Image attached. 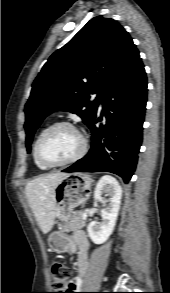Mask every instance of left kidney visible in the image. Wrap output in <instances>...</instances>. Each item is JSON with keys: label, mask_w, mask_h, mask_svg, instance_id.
Instances as JSON below:
<instances>
[{"label": "left kidney", "mask_w": 170, "mask_h": 293, "mask_svg": "<svg viewBox=\"0 0 170 293\" xmlns=\"http://www.w3.org/2000/svg\"><path fill=\"white\" fill-rule=\"evenodd\" d=\"M103 194L109 196L108 205H106L107 201L102 197ZM121 197L122 189L115 178L103 176L98 181L94 192V199L104 206L101 211L102 222L93 221L87 227L89 237L95 244L104 243L112 234L120 209Z\"/></svg>", "instance_id": "left-kidney-1"}]
</instances>
